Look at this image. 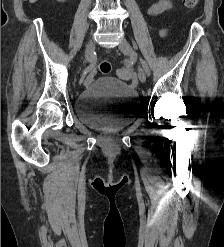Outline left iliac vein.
<instances>
[{
    "mask_svg": "<svg viewBox=\"0 0 224 247\" xmlns=\"http://www.w3.org/2000/svg\"><path fill=\"white\" fill-rule=\"evenodd\" d=\"M119 49L121 50L122 53L125 55L130 56L134 61L137 60V56L135 51L133 50L132 46L126 39H121V42L119 44ZM138 77L141 82L146 81V73L141 65H138Z\"/></svg>",
    "mask_w": 224,
    "mask_h": 247,
    "instance_id": "obj_1",
    "label": "left iliac vein"
}]
</instances>
